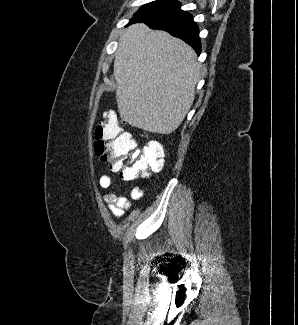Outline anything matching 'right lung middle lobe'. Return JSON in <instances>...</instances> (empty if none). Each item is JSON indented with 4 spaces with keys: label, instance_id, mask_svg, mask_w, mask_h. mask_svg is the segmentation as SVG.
Instances as JSON below:
<instances>
[{
    "label": "right lung middle lobe",
    "instance_id": "dd1d6c3e",
    "mask_svg": "<svg viewBox=\"0 0 298 325\" xmlns=\"http://www.w3.org/2000/svg\"><path fill=\"white\" fill-rule=\"evenodd\" d=\"M180 10V3L176 0H157L141 7L132 20H149L168 15Z\"/></svg>",
    "mask_w": 298,
    "mask_h": 325
}]
</instances>
